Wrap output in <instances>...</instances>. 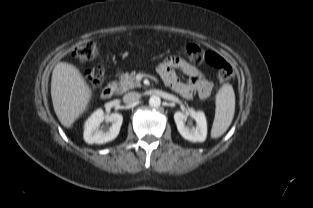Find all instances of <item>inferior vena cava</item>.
<instances>
[{
	"label": "inferior vena cava",
	"instance_id": "602c4592",
	"mask_svg": "<svg viewBox=\"0 0 313 208\" xmlns=\"http://www.w3.org/2000/svg\"><path fill=\"white\" fill-rule=\"evenodd\" d=\"M141 95L138 92H129L123 96V101L126 104L136 103L140 99Z\"/></svg>",
	"mask_w": 313,
	"mask_h": 208
}]
</instances>
